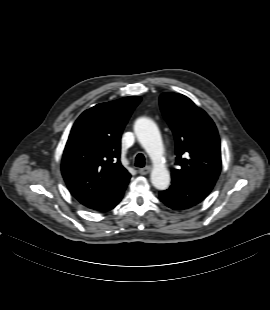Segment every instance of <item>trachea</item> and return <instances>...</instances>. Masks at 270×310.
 <instances>
[{
	"instance_id": "obj_1",
	"label": "trachea",
	"mask_w": 270,
	"mask_h": 310,
	"mask_svg": "<svg viewBox=\"0 0 270 310\" xmlns=\"http://www.w3.org/2000/svg\"><path fill=\"white\" fill-rule=\"evenodd\" d=\"M135 166L144 167L145 166V157L143 154L139 153L135 157Z\"/></svg>"
}]
</instances>
